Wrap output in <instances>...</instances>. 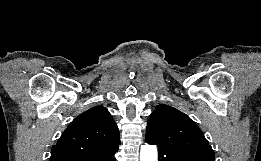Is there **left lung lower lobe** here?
I'll use <instances>...</instances> for the list:
<instances>
[{"mask_svg":"<svg viewBox=\"0 0 261 161\" xmlns=\"http://www.w3.org/2000/svg\"><path fill=\"white\" fill-rule=\"evenodd\" d=\"M158 153L159 161H214V159L206 155L177 147L172 148L158 146Z\"/></svg>","mask_w":261,"mask_h":161,"instance_id":"1","label":"left lung lower lobe"}]
</instances>
